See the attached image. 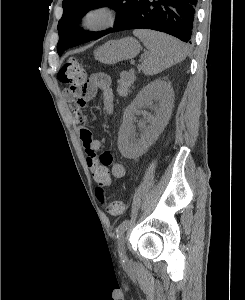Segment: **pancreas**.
<instances>
[{
	"instance_id": "1",
	"label": "pancreas",
	"mask_w": 245,
	"mask_h": 300,
	"mask_svg": "<svg viewBox=\"0 0 245 300\" xmlns=\"http://www.w3.org/2000/svg\"><path fill=\"white\" fill-rule=\"evenodd\" d=\"M134 79L135 77L132 71L130 72L123 71L120 73V80L117 88V92L119 96L121 97L127 96L129 88L133 84Z\"/></svg>"
}]
</instances>
